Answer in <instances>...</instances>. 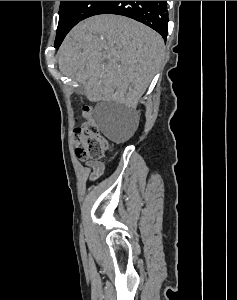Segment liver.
<instances>
[{"mask_svg":"<svg viewBox=\"0 0 237 300\" xmlns=\"http://www.w3.org/2000/svg\"><path fill=\"white\" fill-rule=\"evenodd\" d=\"M165 55L161 35L120 15H96L78 23L58 51L62 73L92 77L93 95H115L136 107Z\"/></svg>","mask_w":237,"mask_h":300,"instance_id":"6515ba94","label":"liver"}]
</instances>
